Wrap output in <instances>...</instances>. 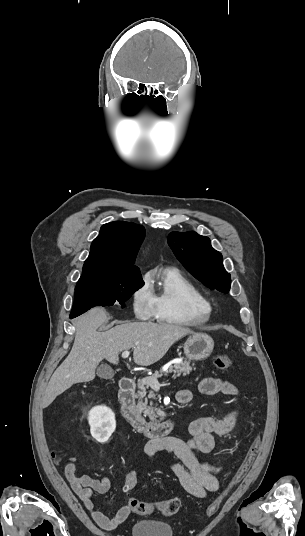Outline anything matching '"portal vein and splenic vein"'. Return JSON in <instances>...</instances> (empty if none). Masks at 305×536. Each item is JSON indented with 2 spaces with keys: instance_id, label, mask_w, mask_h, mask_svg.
<instances>
[{
  "instance_id": "portal-vein-and-splenic-vein-1",
  "label": "portal vein and splenic vein",
  "mask_w": 305,
  "mask_h": 536,
  "mask_svg": "<svg viewBox=\"0 0 305 536\" xmlns=\"http://www.w3.org/2000/svg\"><path fill=\"white\" fill-rule=\"evenodd\" d=\"M130 352L126 350V352H123L122 358H128ZM179 362H182V360H176V364H179ZM143 380H146V378H143ZM151 388H160V384L157 380V378H154L153 382H150Z\"/></svg>"
}]
</instances>
